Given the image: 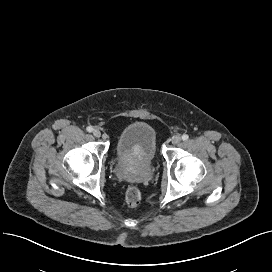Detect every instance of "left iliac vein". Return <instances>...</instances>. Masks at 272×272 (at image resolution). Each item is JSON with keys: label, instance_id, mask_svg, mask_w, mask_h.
<instances>
[{"label": "left iliac vein", "instance_id": "4c4485c4", "mask_svg": "<svg viewBox=\"0 0 272 272\" xmlns=\"http://www.w3.org/2000/svg\"><path fill=\"white\" fill-rule=\"evenodd\" d=\"M171 141H172V144L177 145L181 142V137L179 135H175L173 136Z\"/></svg>", "mask_w": 272, "mask_h": 272}]
</instances>
